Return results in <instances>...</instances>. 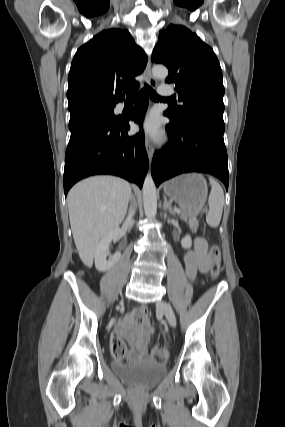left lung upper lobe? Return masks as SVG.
I'll return each instance as SVG.
<instances>
[{"label":"left lung upper lobe","mask_w":285,"mask_h":427,"mask_svg":"<svg viewBox=\"0 0 285 427\" xmlns=\"http://www.w3.org/2000/svg\"><path fill=\"white\" fill-rule=\"evenodd\" d=\"M152 61L169 69L166 83H172L181 106L166 112L181 123L200 115L223 119L222 70L212 48L181 25H169L159 33Z\"/></svg>","instance_id":"obj_1"}]
</instances>
